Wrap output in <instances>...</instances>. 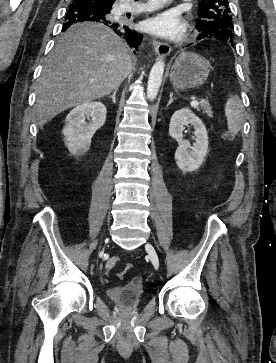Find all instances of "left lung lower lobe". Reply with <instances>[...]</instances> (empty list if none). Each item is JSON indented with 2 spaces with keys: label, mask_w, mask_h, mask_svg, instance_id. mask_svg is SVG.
Returning a JSON list of instances; mask_svg holds the SVG:
<instances>
[{
  "label": "left lung lower lobe",
  "mask_w": 276,
  "mask_h": 363,
  "mask_svg": "<svg viewBox=\"0 0 276 363\" xmlns=\"http://www.w3.org/2000/svg\"><path fill=\"white\" fill-rule=\"evenodd\" d=\"M204 37L200 34L199 35V37H198V39H203Z\"/></svg>",
  "instance_id": "1"
}]
</instances>
